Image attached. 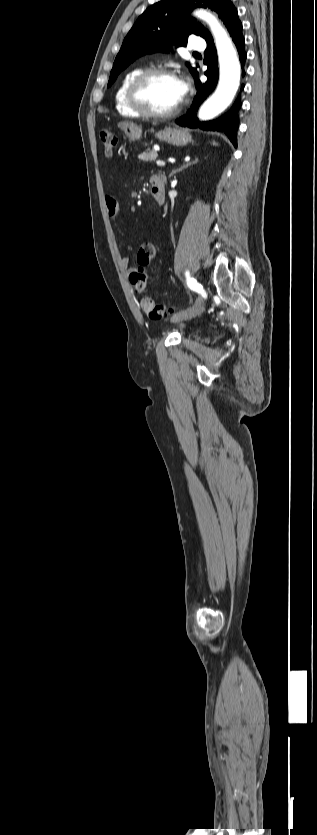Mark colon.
<instances>
[{
	"instance_id": "5ec220e1",
	"label": "colon",
	"mask_w": 317,
	"mask_h": 835,
	"mask_svg": "<svg viewBox=\"0 0 317 835\" xmlns=\"http://www.w3.org/2000/svg\"><path fill=\"white\" fill-rule=\"evenodd\" d=\"M100 139L105 154L111 155L117 144L116 135L112 131L103 130L100 133ZM155 254V248H151L148 259L152 261ZM147 265L148 260L141 261L139 263V267L129 274L130 284L136 293H143L146 290L148 284V275L146 271ZM140 307L152 320L162 319L168 314V309L165 306L156 304L154 300L148 296L141 298Z\"/></svg>"
}]
</instances>
